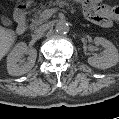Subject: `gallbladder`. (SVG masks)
I'll use <instances>...</instances> for the list:
<instances>
[{
	"instance_id": "gallbladder-1",
	"label": "gallbladder",
	"mask_w": 119,
	"mask_h": 119,
	"mask_svg": "<svg viewBox=\"0 0 119 119\" xmlns=\"http://www.w3.org/2000/svg\"><path fill=\"white\" fill-rule=\"evenodd\" d=\"M4 24H5V25H8V22H7V21H5V22H4Z\"/></svg>"
}]
</instances>
